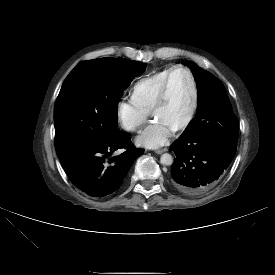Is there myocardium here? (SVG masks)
<instances>
[{
  "instance_id": "f54148a6",
  "label": "myocardium",
  "mask_w": 275,
  "mask_h": 275,
  "mask_svg": "<svg viewBox=\"0 0 275 275\" xmlns=\"http://www.w3.org/2000/svg\"><path fill=\"white\" fill-rule=\"evenodd\" d=\"M177 70H183L188 74L189 79H190L191 88H192V95H193L191 108L189 110L187 117L184 119V121L182 123H180L174 129V131L179 132V131H183L184 129H186L190 125L192 120L194 119V116L196 114L197 107H198V100H199L196 80H195V77H194L192 71L188 67L183 66V65H176L170 69L167 76L165 77V80H164L162 87L159 91L157 99L151 109V113L153 114L155 111H157L159 108H161L164 105V103L166 102L170 78H171L172 74Z\"/></svg>"
}]
</instances>
